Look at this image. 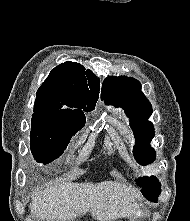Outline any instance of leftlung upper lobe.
I'll return each instance as SVG.
<instances>
[{
	"mask_svg": "<svg viewBox=\"0 0 190 221\" xmlns=\"http://www.w3.org/2000/svg\"><path fill=\"white\" fill-rule=\"evenodd\" d=\"M101 99L106 104L122 107L130 118V126L136 138L133 154L141 165H148L155 160L156 152L150 146L154 137V127L148 118L152 114V106L141 92L138 80L128 77H107L102 85ZM142 187V194L150 201H157L161 192V184L154 176L141 177L136 181Z\"/></svg>",
	"mask_w": 190,
	"mask_h": 221,
	"instance_id": "obj_1",
	"label": "left lung upper lobe"
}]
</instances>
